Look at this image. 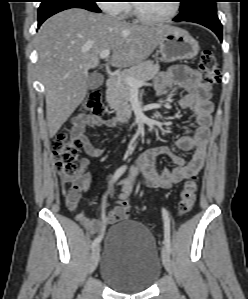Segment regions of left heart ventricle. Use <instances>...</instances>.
<instances>
[{"label":"left heart ventricle","mask_w":248,"mask_h":299,"mask_svg":"<svg viewBox=\"0 0 248 299\" xmlns=\"http://www.w3.org/2000/svg\"><path fill=\"white\" fill-rule=\"evenodd\" d=\"M140 11L149 17H162L172 8V1H148L138 3Z\"/></svg>","instance_id":"left-heart-ventricle-1"}]
</instances>
